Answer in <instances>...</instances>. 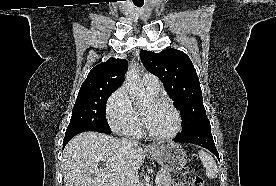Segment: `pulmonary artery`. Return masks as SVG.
I'll list each match as a JSON object with an SVG mask.
<instances>
[{"instance_id":"obj_1","label":"pulmonary artery","mask_w":276,"mask_h":186,"mask_svg":"<svg viewBox=\"0 0 276 186\" xmlns=\"http://www.w3.org/2000/svg\"><path fill=\"white\" fill-rule=\"evenodd\" d=\"M141 82L147 90L153 93H157L160 90L159 79L151 73H145Z\"/></svg>"}]
</instances>
